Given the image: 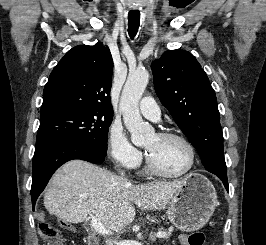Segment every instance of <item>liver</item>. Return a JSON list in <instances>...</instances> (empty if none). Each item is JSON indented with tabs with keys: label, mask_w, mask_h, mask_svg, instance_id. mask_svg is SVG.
<instances>
[{
	"label": "liver",
	"mask_w": 266,
	"mask_h": 245,
	"mask_svg": "<svg viewBox=\"0 0 266 245\" xmlns=\"http://www.w3.org/2000/svg\"><path fill=\"white\" fill-rule=\"evenodd\" d=\"M182 187L183 181L131 185L86 161H69L52 177L44 207L65 223H83L95 215L106 229L122 231L135 219L134 205L141 211L161 209Z\"/></svg>",
	"instance_id": "1"
}]
</instances>
